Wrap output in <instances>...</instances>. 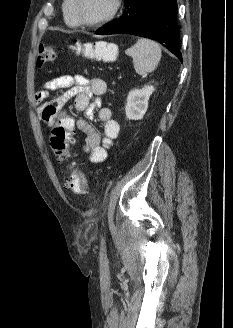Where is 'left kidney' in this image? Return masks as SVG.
Returning a JSON list of instances; mask_svg holds the SVG:
<instances>
[{"mask_svg": "<svg viewBox=\"0 0 233 328\" xmlns=\"http://www.w3.org/2000/svg\"><path fill=\"white\" fill-rule=\"evenodd\" d=\"M154 87L146 85L142 89L131 90L125 106L126 117L129 120H141L148 108V100Z\"/></svg>", "mask_w": 233, "mask_h": 328, "instance_id": "5707ae66", "label": "left kidney"}]
</instances>
